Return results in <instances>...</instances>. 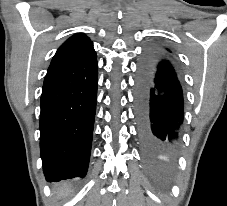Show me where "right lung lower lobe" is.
I'll list each match as a JSON object with an SVG mask.
<instances>
[{
	"mask_svg": "<svg viewBox=\"0 0 227 206\" xmlns=\"http://www.w3.org/2000/svg\"><path fill=\"white\" fill-rule=\"evenodd\" d=\"M96 57L47 72L41 95L40 149L49 182L85 177L96 111Z\"/></svg>",
	"mask_w": 227,
	"mask_h": 206,
	"instance_id": "98d812e1",
	"label": "right lung lower lobe"
}]
</instances>
